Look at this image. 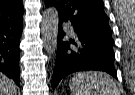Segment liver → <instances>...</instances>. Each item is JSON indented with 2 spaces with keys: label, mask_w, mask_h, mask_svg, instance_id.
<instances>
[{
  "label": "liver",
  "mask_w": 135,
  "mask_h": 95,
  "mask_svg": "<svg viewBox=\"0 0 135 95\" xmlns=\"http://www.w3.org/2000/svg\"><path fill=\"white\" fill-rule=\"evenodd\" d=\"M16 84L4 74L0 73V95H16Z\"/></svg>",
  "instance_id": "1"
}]
</instances>
